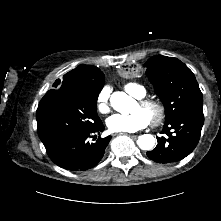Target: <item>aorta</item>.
<instances>
[{
    "label": "aorta",
    "mask_w": 221,
    "mask_h": 221,
    "mask_svg": "<svg viewBox=\"0 0 221 221\" xmlns=\"http://www.w3.org/2000/svg\"><path fill=\"white\" fill-rule=\"evenodd\" d=\"M134 100L125 92H114L110 97V104L114 110L126 114L131 111ZM137 144L142 150H152L155 145V138L151 134H143L138 137Z\"/></svg>",
    "instance_id": "obj_1"
}]
</instances>
